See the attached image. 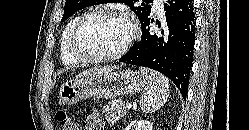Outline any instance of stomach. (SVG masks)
Instances as JSON below:
<instances>
[{
    "mask_svg": "<svg viewBox=\"0 0 249 130\" xmlns=\"http://www.w3.org/2000/svg\"><path fill=\"white\" fill-rule=\"evenodd\" d=\"M145 76L138 70L97 72L82 75L62 84L59 100L64 105H73L91 98H114L139 93L146 85Z\"/></svg>",
    "mask_w": 249,
    "mask_h": 130,
    "instance_id": "stomach-1",
    "label": "stomach"
}]
</instances>
